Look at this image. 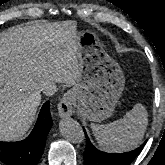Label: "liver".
<instances>
[{"mask_svg":"<svg viewBox=\"0 0 165 165\" xmlns=\"http://www.w3.org/2000/svg\"><path fill=\"white\" fill-rule=\"evenodd\" d=\"M76 22L11 29L0 34V140H16L30 128L43 83L76 85L82 63L75 56ZM67 45L68 55L56 49Z\"/></svg>","mask_w":165,"mask_h":165,"instance_id":"liver-1","label":"liver"}]
</instances>
